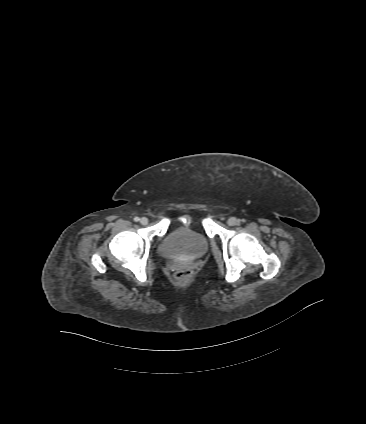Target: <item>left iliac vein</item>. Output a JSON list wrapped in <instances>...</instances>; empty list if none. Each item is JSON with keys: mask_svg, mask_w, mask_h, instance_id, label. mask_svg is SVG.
Segmentation results:
<instances>
[{"mask_svg": "<svg viewBox=\"0 0 366 424\" xmlns=\"http://www.w3.org/2000/svg\"><path fill=\"white\" fill-rule=\"evenodd\" d=\"M237 219L235 218V217H230L229 219H228V221H227V223H228V225L229 226H235V225H237Z\"/></svg>", "mask_w": 366, "mask_h": 424, "instance_id": "left-iliac-vein-1", "label": "left iliac vein"}]
</instances>
